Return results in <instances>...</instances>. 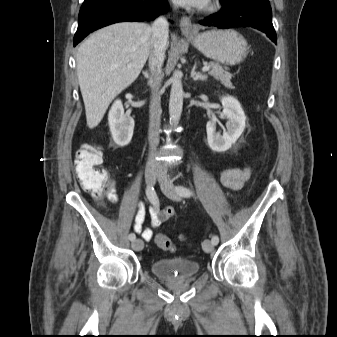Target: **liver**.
<instances>
[{
	"label": "liver",
	"instance_id": "liver-1",
	"mask_svg": "<svg viewBox=\"0 0 337 337\" xmlns=\"http://www.w3.org/2000/svg\"><path fill=\"white\" fill-rule=\"evenodd\" d=\"M145 23H116L90 35L78 48L76 68L89 128L109 104L139 76L152 50Z\"/></svg>",
	"mask_w": 337,
	"mask_h": 337
}]
</instances>
